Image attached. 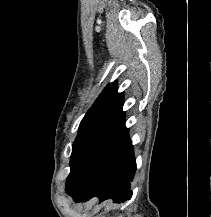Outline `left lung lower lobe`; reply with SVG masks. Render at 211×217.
Listing matches in <instances>:
<instances>
[{
    "instance_id": "obj_1",
    "label": "left lung lower lobe",
    "mask_w": 211,
    "mask_h": 217,
    "mask_svg": "<svg viewBox=\"0 0 211 217\" xmlns=\"http://www.w3.org/2000/svg\"><path fill=\"white\" fill-rule=\"evenodd\" d=\"M136 172V162L129 130L123 127L107 141L79 176L66 184V192L75 201L99 197L124 202L131 198L130 182Z\"/></svg>"
}]
</instances>
